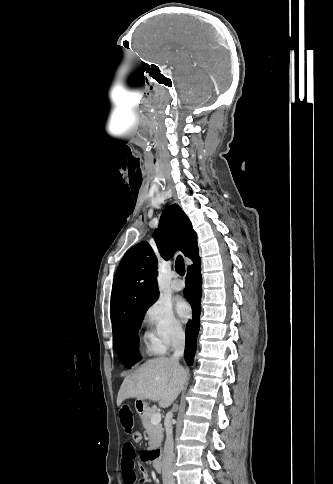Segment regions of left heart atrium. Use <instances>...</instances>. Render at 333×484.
I'll return each mask as SVG.
<instances>
[{
	"label": "left heart atrium",
	"mask_w": 333,
	"mask_h": 484,
	"mask_svg": "<svg viewBox=\"0 0 333 484\" xmlns=\"http://www.w3.org/2000/svg\"><path fill=\"white\" fill-rule=\"evenodd\" d=\"M176 312L182 320L189 318L191 307L184 299H178L175 304Z\"/></svg>",
	"instance_id": "obj_1"
}]
</instances>
